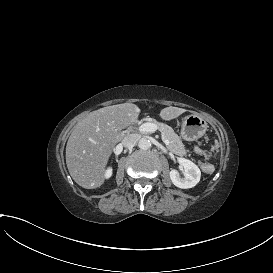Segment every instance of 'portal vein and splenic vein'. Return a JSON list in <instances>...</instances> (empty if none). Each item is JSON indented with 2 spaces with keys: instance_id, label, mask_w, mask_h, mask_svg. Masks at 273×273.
<instances>
[{
  "instance_id": "portal-vein-and-splenic-vein-1",
  "label": "portal vein and splenic vein",
  "mask_w": 273,
  "mask_h": 273,
  "mask_svg": "<svg viewBox=\"0 0 273 273\" xmlns=\"http://www.w3.org/2000/svg\"><path fill=\"white\" fill-rule=\"evenodd\" d=\"M157 129L156 125L153 123H143L138 127V131L140 132H151L153 133ZM160 139L165 145L169 144V141L165 138L164 135L160 136Z\"/></svg>"
}]
</instances>
